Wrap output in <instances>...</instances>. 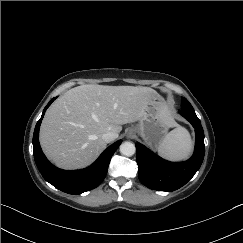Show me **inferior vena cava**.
I'll return each instance as SVG.
<instances>
[{
	"label": "inferior vena cava",
	"mask_w": 243,
	"mask_h": 243,
	"mask_svg": "<svg viewBox=\"0 0 243 243\" xmlns=\"http://www.w3.org/2000/svg\"><path fill=\"white\" fill-rule=\"evenodd\" d=\"M102 139L106 142L109 143L113 140L116 139V134L113 132H106L102 135Z\"/></svg>",
	"instance_id": "obj_1"
}]
</instances>
